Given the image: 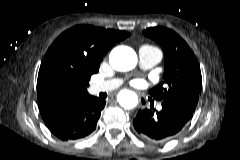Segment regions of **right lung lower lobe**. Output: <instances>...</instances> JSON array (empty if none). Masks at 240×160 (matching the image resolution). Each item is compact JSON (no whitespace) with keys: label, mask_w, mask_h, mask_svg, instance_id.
I'll use <instances>...</instances> for the list:
<instances>
[{"label":"right lung lower lobe","mask_w":240,"mask_h":160,"mask_svg":"<svg viewBox=\"0 0 240 160\" xmlns=\"http://www.w3.org/2000/svg\"><path fill=\"white\" fill-rule=\"evenodd\" d=\"M105 100L88 93L74 99H56L39 107L49 130L63 141L81 139L96 128Z\"/></svg>","instance_id":"right-lung-lower-lobe-1"}]
</instances>
